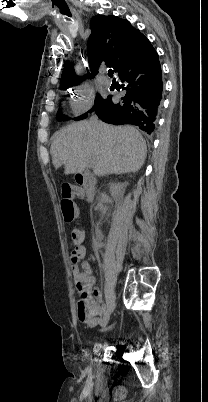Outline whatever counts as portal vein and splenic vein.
<instances>
[{
    "label": "portal vein and splenic vein",
    "mask_w": 208,
    "mask_h": 402,
    "mask_svg": "<svg viewBox=\"0 0 208 402\" xmlns=\"http://www.w3.org/2000/svg\"><path fill=\"white\" fill-rule=\"evenodd\" d=\"M89 166H91L90 162H88Z\"/></svg>",
    "instance_id": "portal-vein-and-splenic-vein-1"
}]
</instances>
